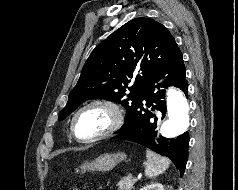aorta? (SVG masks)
<instances>
[{"label": "aorta", "mask_w": 238, "mask_h": 190, "mask_svg": "<svg viewBox=\"0 0 238 190\" xmlns=\"http://www.w3.org/2000/svg\"><path fill=\"white\" fill-rule=\"evenodd\" d=\"M168 118L161 126L160 132L166 138L176 137L185 132L189 126L190 105L181 90L172 88L167 92Z\"/></svg>", "instance_id": "762f6f07"}]
</instances>
